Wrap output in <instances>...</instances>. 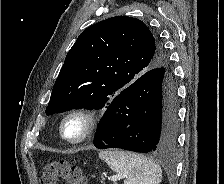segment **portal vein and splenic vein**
Masks as SVG:
<instances>
[{"mask_svg":"<svg viewBox=\"0 0 224 184\" xmlns=\"http://www.w3.org/2000/svg\"><path fill=\"white\" fill-rule=\"evenodd\" d=\"M123 177L121 176V175H113L112 177H111V180L113 181V182H116V181H118V180H120V179H122Z\"/></svg>","mask_w":224,"mask_h":184,"instance_id":"1","label":"portal vein and splenic vein"}]
</instances>
